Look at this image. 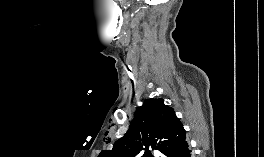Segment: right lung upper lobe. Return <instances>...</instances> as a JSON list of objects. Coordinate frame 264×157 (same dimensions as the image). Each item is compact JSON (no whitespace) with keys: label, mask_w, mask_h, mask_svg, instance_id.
Listing matches in <instances>:
<instances>
[{"label":"right lung upper lobe","mask_w":264,"mask_h":157,"mask_svg":"<svg viewBox=\"0 0 264 157\" xmlns=\"http://www.w3.org/2000/svg\"><path fill=\"white\" fill-rule=\"evenodd\" d=\"M186 141V131L173 108L163 99H147L137 110L126 134L112 150L99 157H155L158 150L164 157Z\"/></svg>","instance_id":"cb5924a9"}]
</instances>
